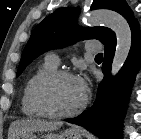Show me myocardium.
Listing matches in <instances>:
<instances>
[{
    "instance_id": "f54148a6",
    "label": "myocardium",
    "mask_w": 141,
    "mask_h": 139,
    "mask_svg": "<svg viewBox=\"0 0 141 139\" xmlns=\"http://www.w3.org/2000/svg\"><path fill=\"white\" fill-rule=\"evenodd\" d=\"M62 78H75L78 79L83 87H84V97L81 101V103L75 107L72 110L65 111V112H60L56 111L49 99V90L51 86L59 79ZM35 99L36 102L39 106V108L43 111V113L47 117L51 118H67V117H72L77 114H79L87 105L88 103V92L86 87L84 86L82 80L78 75L75 73L68 71V70H55L48 75H46L37 85L36 90H35Z\"/></svg>"
}]
</instances>
